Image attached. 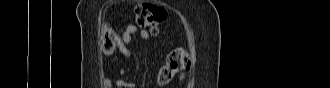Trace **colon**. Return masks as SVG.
Returning <instances> with one entry per match:
<instances>
[{"mask_svg":"<svg viewBox=\"0 0 330 88\" xmlns=\"http://www.w3.org/2000/svg\"><path fill=\"white\" fill-rule=\"evenodd\" d=\"M135 22L138 26L148 28L157 33L160 24L165 20V11L151 3L141 2L134 8ZM118 33L106 24L101 30V48L105 53H111L117 45ZM191 59L188 52L182 47L172 49L156 74V81L161 86H167L178 74L190 69Z\"/></svg>","mask_w":330,"mask_h":88,"instance_id":"obj_1","label":"colon"}]
</instances>
